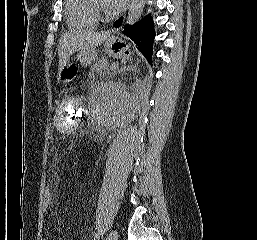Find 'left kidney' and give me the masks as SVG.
<instances>
[{"mask_svg":"<svg viewBox=\"0 0 257 240\" xmlns=\"http://www.w3.org/2000/svg\"><path fill=\"white\" fill-rule=\"evenodd\" d=\"M98 105L101 120L107 127H114L132 110L133 97L124 84L109 82L99 92Z\"/></svg>","mask_w":257,"mask_h":240,"instance_id":"left-kidney-1","label":"left kidney"}]
</instances>
